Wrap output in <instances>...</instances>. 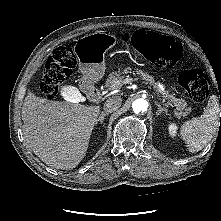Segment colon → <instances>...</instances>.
<instances>
[{"instance_id":"1","label":"colon","mask_w":221,"mask_h":221,"mask_svg":"<svg viewBox=\"0 0 221 221\" xmlns=\"http://www.w3.org/2000/svg\"><path fill=\"white\" fill-rule=\"evenodd\" d=\"M124 43H132L135 49L147 60L162 68H180L179 81L190 98L196 102L206 100L210 80L201 69L183 67L181 44L173 38L147 30H136L121 36ZM76 56L72 46L61 44L49 56L41 81V91L46 98L55 97L61 84L76 67Z\"/></svg>"}]
</instances>
